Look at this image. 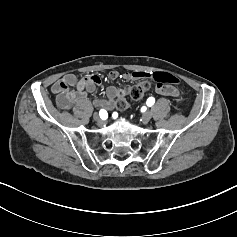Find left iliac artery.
I'll return each instance as SVG.
<instances>
[{
  "instance_id": "1",
  "label": "left iliac artery",
  "mask_w": 237,
  "mask_h": 237,
  "mask_svg": "<svg viewBox=\"0 0 237 237\" xmlns=\"http://www.w3.org/2000/svg\"><path fill=\"white\" fill-rule=\"evenodd\" d=\"M155 103V99L153 97H149L146 101L147 106H152Z\"/></svg>"
}]
</instances>
